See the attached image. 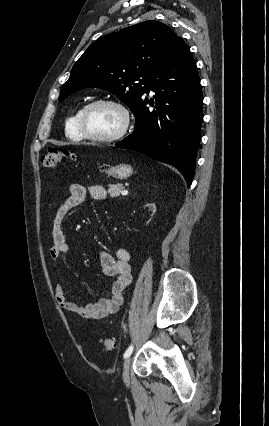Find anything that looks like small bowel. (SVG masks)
<instances>
[{
	"instance_id": "obj_1",
	"label": "small bowel",
	"mask_w": 269,
	"mask_h": 426,
	"mask_svg": "<svg viewBox=\"0 0 269 426\" xmlns=\"http://www.w3.org/2000/svg\"><path fill=\"white\" fill-rule=\"evenodd\" d=\"M87 193L97 201L104 200L107 196L106 189L101 185L86 188L75 183L70 186L69 196L58 208L52 228L53 244L50 248V255L54 260H59L70 250L63 223L67 215L84 201ZM100 265L102 273L114 279L110 296L101 297L93 303L81 304L69 299L66 296L64 285L61 282H56L54 285L55 299L62 310L94 320L115 314L120 310L124 301L123 292L132 279L130 253L125 248L117 249L114 254L102 251Z\"/></svg>"
}]
</instances>
